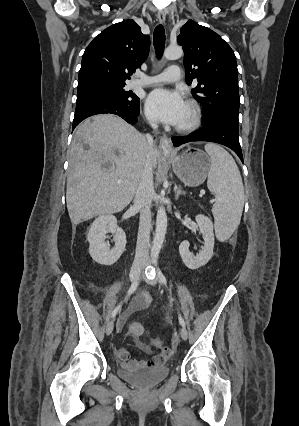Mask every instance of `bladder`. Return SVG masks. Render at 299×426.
Segmentation results:
<instances>
[{
    "label": "bladder",
    "instance_id": "obj_1",
    "mask_svg": "<svg viewBox=\"0 0 299 426\" xmlns=\"http://www.w3.org/2000/svg\"><path fill=\"white\" fill-rule=\"evenodd\" d=\"M170 373L167 366L143 368L139 370H118V375L128 383L142 389H149L164 381Z\"/></svg>",
    "mask_w": 299,
    "mask_h": 426
}]
</instances>
